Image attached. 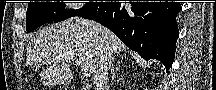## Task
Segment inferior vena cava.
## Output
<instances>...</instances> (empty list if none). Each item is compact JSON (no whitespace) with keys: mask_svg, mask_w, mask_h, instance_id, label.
<instances>
[{"mask_svg":"<svg viewBox=\"0 0 216 90\" xmlns=\"http://www.w3.org/2000/svg\"><path fill=\"white\" fill-rule=\"evenodd\" d=\"M110 56H103L98 62L97 70L94 74L95 90H108V70Z\"/></svg>","mask_w":216,"mask_h":90,"instance_id":"1","label":"inferior vena cava"}]
</instances>
